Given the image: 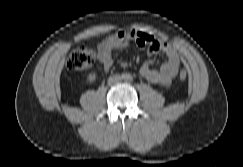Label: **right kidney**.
Instances as JSON below:
<instances>
[{"label":"right kidney","instance_id":"obj_1","mask_svg":"<svg viewBox=\"0 0 243 167\" xmlns=\"http://www.w3.org/2000/svg\"><path fill=\"white\" fill-rule=\"evenodd\" d=\"M96 79V74L95 73H90L88 76H87V81L88 82H94Z\"/></svg>","mask_w":243,"mask_h":167}]
</instances>
